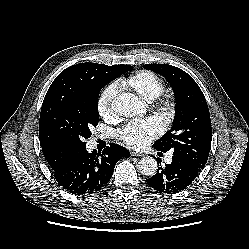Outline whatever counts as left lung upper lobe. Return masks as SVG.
Segmentation results:
<instances>
[{
    "label": "left lung upper lobe",
    "mask_w": 249,
    "mask_h": 249,
    "mask_svg": "<svg viewBox=\"0 0 249 249\" xmlns=\"http://www.w3.org/2000/svg\"><path fill=\"white\" fill-rule=\"evenodd\" d=\"M144 68L164 76L171 84L176 100L173 126L153 147L164 153L172 150L173 155L202 170L211 147L212 128L200 87L189 74L175 66L146 64Z\"/></svg>",
    "instance_id": "left-lung-upper-lobe-1"
}]
</instances>
